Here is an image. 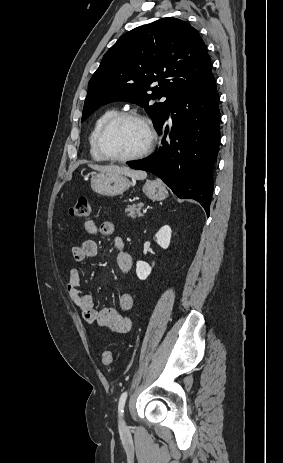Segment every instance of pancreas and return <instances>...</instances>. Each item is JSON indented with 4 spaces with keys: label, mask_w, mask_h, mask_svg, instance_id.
Here are the masks:
<instances>
[{
    "label": "pancreas",
    "mask_w": 283,
    "mask_h": 463,
    "mask_svg": "<svg viewBox=\"0 0 283 463\" xmlns=\"http://www.w3.org/2000/svg\"><path fill=\"white\" fill-rule=\"evenodd\" d=\"M143 207V203H137V204H133V205H129L125 212L127 213V216L128 217H131V218H137V217H141L143 216V214L141 213V209Z\"/></svg>",
    "instance_id": "cf45deb5"
}]
</instances>
